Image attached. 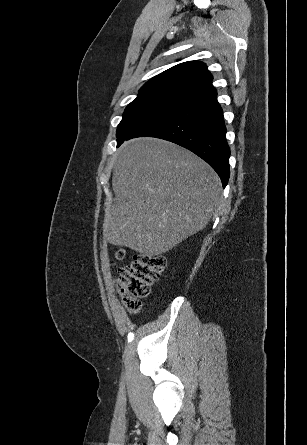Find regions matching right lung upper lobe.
Segmentation results:
<instances>
[{
  "mask_svg": "<svg viewBox=\"0 0 307 445\" xmlns=\"http://www.w3.org/2000/svg\"><path fill=\"white\" fill-rule=\"evenodd\" d=\"M212 79L204 63L188 61L153 77L139 90L138 96L156 95L186 101L213 88Z\"/></svg>",
  "mask_w": 307,
  "mask_h": 445,
  "instance_id": "right-lung-upper-lobe-1",
  "label": "right lung upper lobe"
}]
</instances>
